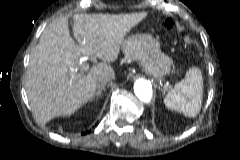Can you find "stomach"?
<instances>
[{
    "label": "stomach",
    "mask_w": 240,
    "mask_h": 160,
    "mask_svg": "<svg viewBox=\"0 0 240 160\" xmlns=\"http://www.w3.org/2000/svg\"><path fill=\"white\" fill-rule=\"evenodd\" d=\"M123 49L127 58L140 60L144 70L157 79L170 72L171 59L161 51L158 40L152 35H133L126 40Z\"/></svg>",
    "instance_id": "0dacf381"
}]
</instances>
